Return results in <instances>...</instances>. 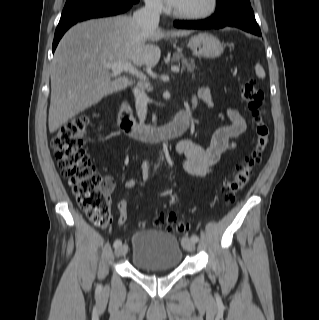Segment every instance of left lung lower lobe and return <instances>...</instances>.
I'll return each mask as SVG.
<instances>
[{
	"instance_id": "left-lung-lower-lobe-1",
	"label": "left lung lower lobe",
	"mask_w": 319,
	"mask_h": 320,
	"mask_svg": "<svg viewBox=\"0 0 319 320\" xmlns=\"http://www.w3.org/2000/svg\"><path fill=\"white\" fill-rule=\"evenodd\" d=\"M174 26L184 29L237 27L246 32L261 36L260 28L255 20L250 4H230L216 8L215 13L208 19L201 21H175Z\"/></svg>"
}]
</instances>
